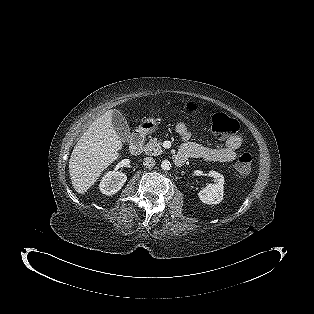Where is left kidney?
<instances>
[{
  "instance_id": "obj_1",
  "label": "left kidney",
  "mask_w": 314,
  "mask_h": 314,
  "mask_svg": "<svg viewBox=\"0 0 314 314\" xmlns=\"http://www.w3.org/2000/svg\"><path fill=\"white\" fill-rule=\"evenodd\" d=\"M208 176L213 177V183L202 189L198 193V196L205 204H219L223 200L224 177L220 173L213 170L208 173Z\"/></svg>"
}]
</instances>
